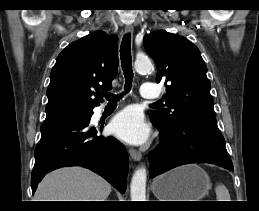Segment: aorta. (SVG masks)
Listing matches in <instances>:
<instances>
[{"instance_id":"obj_1","label":"aorta","mask_w":259,"mask_h":211,"mask_svg":"<svg viewBox=\"0 0 259 211\" xmlns=\"http://www.w3.org/2000/svg\"><path fill=\"white\" fill-rule=\"evenodd\" d=\"M135 70L138 73H147L152 70V63L149 59H138L135 62ZM147 173L144 167L135 171L130 184L131 201H146Z\"/></svg>"}]
</instances>
